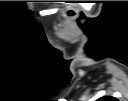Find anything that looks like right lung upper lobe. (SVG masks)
I'll return each mask as SVG.
<instances>
[{"label":"right lung upper lobe","mask_w":128,"mask_h":101,"mask_svg":"<svg viewBox=\"0 0 128 101\" xmlns=\"http://www.w3.org/2000/svg\"><path fill=\"white\" fill-rule=\"evenodd\" d=\"M101 100H103V101H115V98L110 97V96H105V97H102Z\"/></svg>","instance_id":"obj_1"}]
</instances>
